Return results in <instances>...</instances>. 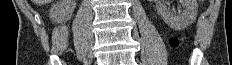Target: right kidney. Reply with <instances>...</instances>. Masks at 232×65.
I'll return each instance as SVG.
<instances>
[{"label":"right kidney","instance_id":"ca27d5eb","mask_svg":"<svg viewBox=\"0 0 232 65\" xmlns=\"http://www.w3.org/2000/svg\"><path fill=\"white\" fill-rule=\"evenodd\" d=\"M75 5V0H59L50 9V19L55 23L69 20L73 14Z\"/></svg>","mask_w":232,"mask_h":65}]
</instances>
